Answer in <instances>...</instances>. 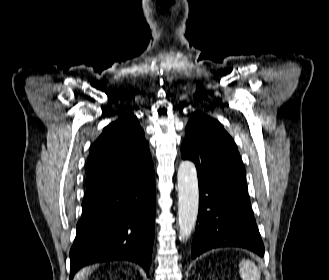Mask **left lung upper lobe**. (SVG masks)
I'll use <instances>...</instances> for the list:
<instances>
[{"instance_id":"1","label":"left lung upper lobe","mask_w":329,"mask_h":280,"mask_svg":"<svg viewBox=\"0 0 329 280\" xmlns=\"http://www.w3.org/2000/svg\"><path fill=\"white\" fill-rule=\"evenodd\" d=\"M181 156L195 163L199 186L227 187L228 174L236 181L245 182V171L233 139L218 121L206 114L196 112L187 123Z\"/></svg>"}]
</instances>
